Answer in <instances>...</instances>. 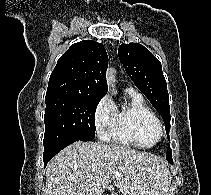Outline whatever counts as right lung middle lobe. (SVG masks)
I'll list each match as a JSON object with an SVG mask.
<instances>
[{
  "mask_svg": "<svg viewBox=\"0 0 211 195\" xmlns=\"http://www.w3.org/2000/svg\"><path fill=\"white\" fill-rule=\"evenodd\" d=\"M99 101L69 94L46 95L44 149L69 140H93Z\"/></svg>",
  "mask_w": 211,
  "mask_h": 195,
  "instance_id": "1",
  "label": "right lung middle lobe"
}]
</instances>
